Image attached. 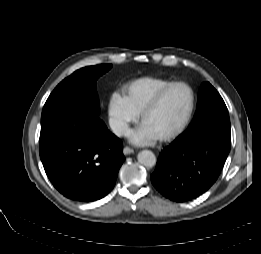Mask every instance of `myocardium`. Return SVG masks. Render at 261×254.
<instances>
[{
  "label": "myocardium",
  "instance_id": "myocardium-1",
  "mask_svg": "<svg viewBox=\"0 0 261 254\" xmlns=\"http://www.w3.org/2000/svg\"><path fill=\"white\" fill-rule=\"evenodd\" d=\"M176 86H183L188 90V92H189L188 108H187L184 116L182 117L181 121L179 122V124L173 130H171L167 133L155 136V139L158 141H168V140L175 138L183 131V129L187 125V123L190 120V117L193 113L194 106H195V94H194L192 88L187 83H184V82L170 83L167 86H165L162 90H160L159 93L140 112V123L142 124L146 115L149 112H151L154 108H156V106L159 104L161 99L170 89H172Z\"/></svg>",
  "mask_w": 261,
  "mask_h": 254
}]
</instances>
